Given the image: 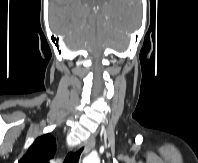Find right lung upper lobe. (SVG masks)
I'll return each mask as SVG.
<instances>
[{
  "label": "right lung upper lobe",
  "instance_id": "right-lung-upper-lobe-1",
  "mask_svg": "<svg viewBox=\"0 0 198 163\" xmlns=\"http://www.w3.org/2000/svg\"><path fill=\"white\" fill-rule=\"evenodd\" d=\"M56 141L48 133L38 137L18 163H50L55 156Z\"/></svg>",
  "mask_w": 198,
  "mask_h": 163
}]
</instances>
